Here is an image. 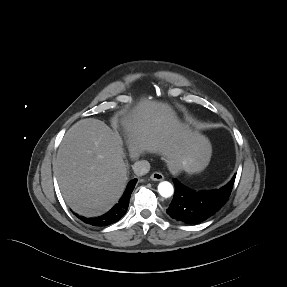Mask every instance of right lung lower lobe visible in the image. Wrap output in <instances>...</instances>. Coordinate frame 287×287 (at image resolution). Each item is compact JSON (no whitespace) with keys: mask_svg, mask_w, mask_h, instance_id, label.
Listing matches in <instances>:
<instances>
[{"mask_svg":"<svg viewBox=\"0 0 287 287\" xmlns=\"http://www.w3.org/2000/svg\"><path fill=\"white\" fill-rule=\"evenodd\" d=\"M137 182V179H133L128 183V186L119 200V203L116 204L109 212L106 214L99 216V217H94V218H86L83 216H79L75 214L79 219H81L84 223H87L92 226H108L110 224H113L120 220L124 214L127 211V208L129 206V200L131 193L135 187V184Z\"/></svg>","mask_w":287,"mask_h":287,"instance_id":"right-lung-lower-lobe-1","label":"right lung lower lobe"}]
</instances>
